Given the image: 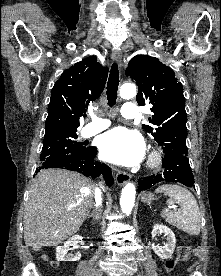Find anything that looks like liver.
I'll use <instances>...</instances> for the list:
<instances>
[{
    "instance_id": "obj_1",
    "label": "liver",
    "mask_w": 221,
    "mask_h": 276,
    "mask_svg": "<svg viewBox=\"0 0 221 276\" xmlns=\"http://www.w3.org/2000/svg\"><path fill=\"white\" fill-rule=\"evenodd\" d=\"M98 188L76 172L45 169L38 173L25 205L26 246L39 251L77 233L90 213Z\"/></svg>"
}]
</instances>
